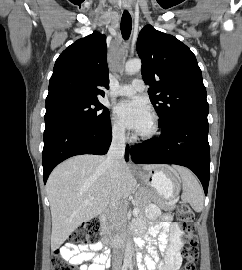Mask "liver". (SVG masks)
Returning a JSON list of instances; mask_svg holds the SVG:
<instances>
[{
  "mask_svg": "<svg viewBox=\"0 0 242 270\" xmlns=\"http://www.w3.org/2000/svg\"><path fill=\"white\" fill-rule=\"evenodd\" d=\"M104 156L78 155L58 165L46 189L52 215L51 248H59L83 223L97 217L117 195L126 199L136 191V179L124 162L117 184L111 180ZM160 166L144 165L150 171ZM90 198H93L92 200Z\"/></svg>",
  "mask_w": 242,
  "mask_h": 270,
  "instance_id": "obj_1",
  "label": "liver"
}]
</instances>
